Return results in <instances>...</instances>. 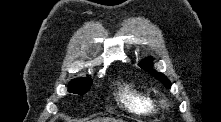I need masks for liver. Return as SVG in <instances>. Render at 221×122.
Segmentation results:
<instances>
[{"label":"liver","instance_id":"obj_1","mask_svg":"<svg viewBox=\"0 0 221 122\" xmlns=\"http://www.w3.org/2000/svg\"><path fill=\"white\" fill-rule=\"evenodd\" d=\"M96 120L97 122H122L121 120L115 118H99Z\"/></svg>","mask_w":221,"mask_h":122}]
</instances>
